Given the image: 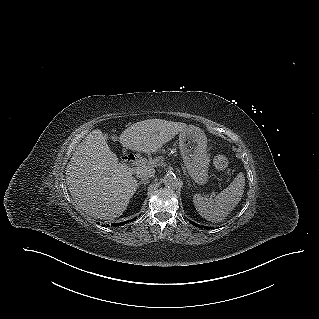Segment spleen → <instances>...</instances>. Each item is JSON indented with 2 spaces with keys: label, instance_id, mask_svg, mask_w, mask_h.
Listing matches in <instances>:
<instances>
[{
  "label": "spleen",
  "instance_id": "3e777b00",
  "mask_svg": "<svg viewBox=\"0 0 319 319\" xmlns=\"http://www.w3.org/2000/svg\"><path fill=\"white\" fill-rule=\"evenodd\" d=\"M245 177L240 172L233 182L216 195L215 198H207L201 194H194L193 202L196 210L208 221L221 222L237 206L244 193Z\"/></svg>",
  "mask_w": 319,
  "mask_h": 319
}]
</instances>
